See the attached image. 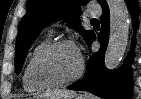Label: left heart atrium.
I'll use <instances>...</instances> for the list:
<instances>
[{
	"label": "left heart atrium",
	"mask_w": 141,
	"mask_h": 99,
	"mask_svg": "<svg viewBox=\"0 0 141 99\" xmlns=\"http://www.w3.org/2000/svg\"><path fill=\"white\" fill-rule=\"evenodd\" d=\"M74 48H75L77 55L80 57L81 53H80L79 47L75 46Z\"/></svg>",
	"instance_id": "obj_1"
}]
</instances>
